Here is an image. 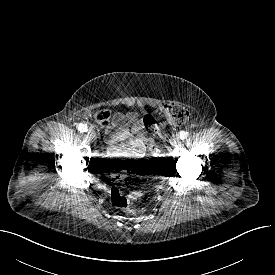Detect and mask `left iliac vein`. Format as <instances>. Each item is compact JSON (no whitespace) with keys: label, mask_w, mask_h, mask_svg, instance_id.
Listing matches in <instances>:
<instances>
[{"label":"left iliac vein","mask_w":275,"mask_h":275,"mask_svg":"<svg viewBox=\"0 0 275 275\" xmlns=\"http://www.w3.org/2000/svg\"><path fill=\"white\" fill-rule=\"evenodd\" d=\"M170 143L172 146H176L179 143V137L178 136H173L170 140Z\"/></svg>","instance_id":"obj_1"}]
</instances>
